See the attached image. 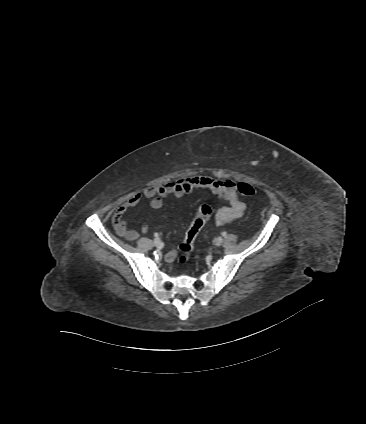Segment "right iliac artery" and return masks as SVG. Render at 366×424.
<instances>
[{"label": "right iliac artery", "instance_id": "1", "mask_svg": "<svg viewBox=\"0 0 366 424\" xmlns=\"http://www.w3.org/2000/svg\"><path fill=\"white\" fill-rule=\"evenodd\" d=\"M154 236L157 238V237H158V234H157V233H155V234H154Z\"/></svg>", "mask_w": 366, "mask_h": 424}]
</instances>
